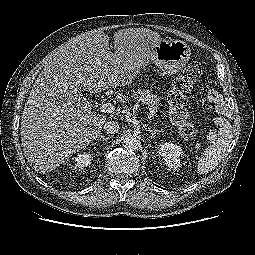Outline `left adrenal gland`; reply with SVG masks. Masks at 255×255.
<instances>
[{"label": "left adrenal gland", "instance_id": "1", "mask_svg": "<svg viewBox=\"0 0 255 255\" xmlns=\"http://www.w3.org/2000/svg\"><path fill=\"white\" fill-rule=\"evenodd\" d=\"M147 129H148V131H149L150 134H151V138H153L154 135H156V134H158L159 132H161V130H151L150 127H148Z\"/></svg>", "mask_w": 255, "mask_h": 255}]
</instances>
